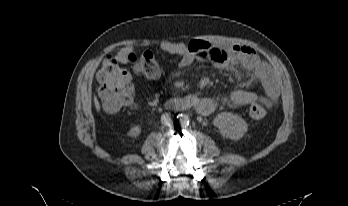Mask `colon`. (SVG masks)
I'll return each instance as SVG.
<instances>
[{
    "label": "colon",
    "mask_w": 348,
    "mask_h": 206,
    "mask_svg": "<svg viewBox=\"0 0 348 206\" xmlns=\"http://www.w3.org/2000/svg\"><path fill=\"white\" fill-rule=\"evenodd\" d=\"M127 60L135 65L136 70L148 77H156L161 72L160 64L151 51L129 53ZM97 81L102 104L107 112L114 113L133 104L131 75L116 57L108 56L103 61ZM270 109V100L262 97L250 107L249 114L253 119L259 120L263 119Z\"/></svg>",
    "instance_id": "colon-1"
}]
</instances>
